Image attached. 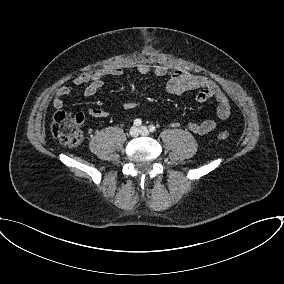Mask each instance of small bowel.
<instances>
[{"instance_id": "small-bowel-1", "label": "small bowel", "mask_w": 284, "mask_h": 284, "mask_svg": "<svg viewBox=\"0 0 284 284\" xmlns=\"http://www.w3.org/2000/svg\"><path fill=\"white\" fill-rule=\"evenodd\" d=\"M132 68L139 74H153L157 77L167 78L166 89L169 93L182 95L189 91L196 90V100L205 102L214 99L217 102L216 117L225 120L230 116V102L226 94L211 79L206 76L192 74L182 69H169L161 65L149 66L144 63H137ZM122 67H113L106 70H93L80 74L73 82V85L61 86L54 97L53 106L61 109L64 106V98L73 93L77 87L85 85L83 94L85 97H93L103 86L104 79L108 76H122ZM88 113L94 117H106L108 113L100 108H89ZM172 127H179L178 122H172ZM187 129L198 135H206L214 131L217 127L215 120H205L203 122H190Z\"/></svg>"}]
</instances>
